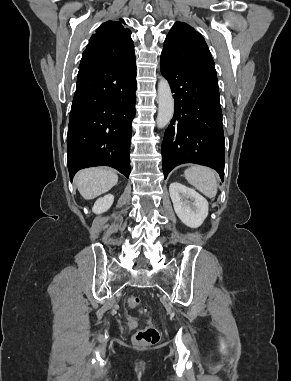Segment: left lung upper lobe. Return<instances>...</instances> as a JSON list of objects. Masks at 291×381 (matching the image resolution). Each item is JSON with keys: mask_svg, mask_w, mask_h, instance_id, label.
Returning a JSON list of instances; mask_svg holds the SVG:
<instances>
[{"mask_svg": "<svg viewBox=\"0 0 291 381\" xmlns=\"http://www.w3.org/2000/svg\"><path fill=\"white\" fill-rule=\"evenodd\" d=\"M162 54L195 74L217 79L214 61L204 38L186 23L177 21L173 25L165 39Z\"/></svg>", "mask_w": 291, "mask_h": 381, "instance_id": "5c2ea615", "label": "left lung upper lobe"}]
</instances>
